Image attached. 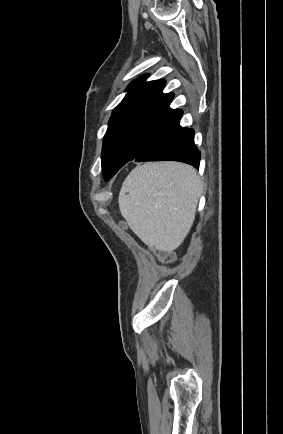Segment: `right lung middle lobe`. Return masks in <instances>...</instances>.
<instances>
[{"label": "right lung middle lobe", "mask_w": 283, "mask_h": 434, "mask_svg": "<svg viewBox=\"0 0 283 434\" xmlns=\"http://www.w3.org/2000/svg\"><path fill=\"white\" fill-rule=\"evenodd\" d=\"M176 122L149 115H132L110 120L101 156L104 179L109 180Z\"/></svg>", "instance_id": "1"}]
</instances>
